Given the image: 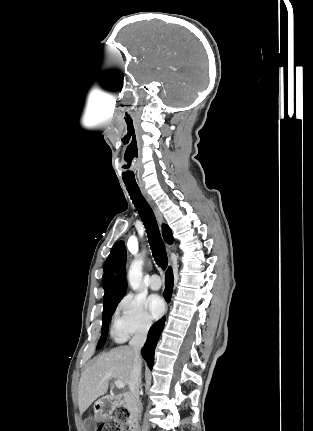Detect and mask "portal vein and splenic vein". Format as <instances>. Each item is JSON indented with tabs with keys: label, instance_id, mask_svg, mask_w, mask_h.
I'll return each instance as SVG.
<instances>
[{
	"label": "portal vein and splenic vein",
	"instance_id": "1",
	"mask_svg": "<svg viewBox=\"0 0 313 431\" xmlns=\"http://www.w3.org/2000/svg\"><path fill=\"white\" fill-rule=\"evenodd\" d=\"M115 386L118 389H123L125 387V383L123 381H115Z\"/></svg>",
	"mask_w": 313,
	"mask_h": 431
}]
</instances>
